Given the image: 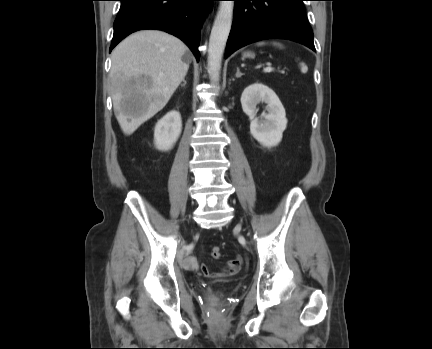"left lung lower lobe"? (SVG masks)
<instances>
[{"mask_svg":"<svg viewBox=\"0 0 432 349\" xmlns=\"http://www.w3.org/2000/svg\"><path fill=\"white\" fill-rule=\"evenodd\" d=\"M234 19L225 58L239 48L263 39L292 40L315 51L304 0H233Z\"/></svg>","mask_w":432,"mask_h":349,"instance_id":"1","label":"left lung lower lobe"}]
</instances>
